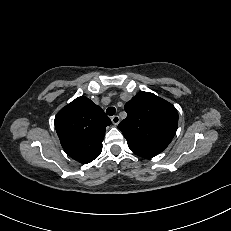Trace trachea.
<instances>
[{"mask_svg": "<svg viewBox=\"0 0 231 231\" xmlns=\"http://www.w3.org/2000/svg\"><path fill=\"white\" fill-rule=\"evenodd\" d=\"M115 112H116L115 107H109V108H107V110H106V113H107V115H109V116L114 115Z\"/></svg>", "mask_w": 231, "mask_h": 231, "instance_id": "1", "label": "trachea"}]
</instances>
